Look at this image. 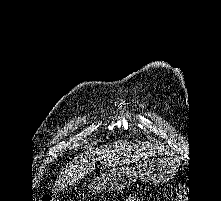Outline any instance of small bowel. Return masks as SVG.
I'll return each instance as SVG.
<instances>
[{"label":"small bowel","instance_id":"small-bowel-1","mask_svg":"<svg viewBox=\"0 0 221 201\" xmlns=\"http://www.w3.org/2000/svg\"><path fill=\"white\" fill-rule=\"evenodd\" d=\"M127 201H141L138 197L132 196L127 199Z\"/></svg>","mask_w":221,"mask_h":201}]
</instances>
